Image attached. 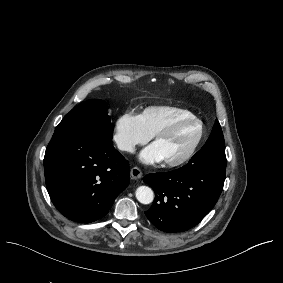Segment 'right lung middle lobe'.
Returning <instances> with one entry per match:
<instances>
[{
  "label": "right lung middle lobe",
  "mask_w": 283,
  "mask_h": 283,
  "mask_svg": "<svg viewBox=\"0 0 283 283\" xmlns=\"http://www.w3.org/2000/svg\"><path fill=\"white\" fill-rule=\"evenodd\" d=\"M102 100H88L74 107L56 127L54 134L74 132L112 139L114 126Z\"/></svg>",
  "instance_id": "right-lung-middle-lobe-1"
}]
</instances>
